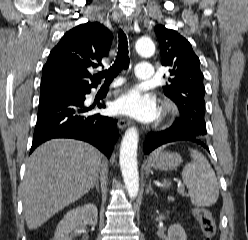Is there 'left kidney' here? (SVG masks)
<instances>
[{"label": "left kidney", "instance_id": "1", "mask_svg": "<svg viewBox=\"0 0 248 240\" xmlns=\"http://www.w3.org/2000/svg\"><path fill=\"white\" fill-rule=\"evenodd\" d=\"M163 219H165L164 215H160L156 218L157 221ZM166 240H187V235L181 225L174 224L169 227Z\"/></svg>", "mask_w": 248, "mask_h": 240}]
</instances>
